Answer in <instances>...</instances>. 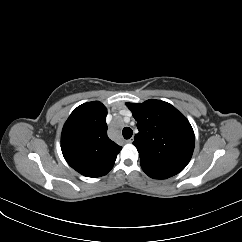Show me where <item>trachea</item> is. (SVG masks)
I'll use <instances>...</instances> for the list:
<instances>
[{
    "mask_svg": "<svg viewBox=\"0 0 242 242\" xmlns=\"http://www.w3.org/2000/svg\"><path fill=\"white\" fill-rule=\"evenodd\" d=\"M122 134H123V137H124L125 139H129V138H131V136H132V134H133V131H132L131 128H129V127H125V128L123 129V131H122Z\"/></svg>",
    "mask_w": 242,
    "mask_h": 242,
    "instance_id": "trachea-1",
    "label": "trachea"
}]
</instances>
